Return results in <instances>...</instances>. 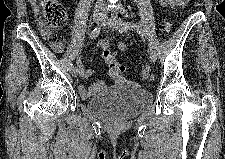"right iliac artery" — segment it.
I'll use <instances>...</instances> for the list:
<instances>
[{
    "mask_svg": "<svg viewBox=\"0 0 225 159\" xmlns=\"http://www.w3.org/2000/svg\"><path fill=\"white\" fill-rule=\"evenodd\" d=\"M99 33H100V27H96L89 34V38L90 39H95V38L98 37ZM72 68H73V64H71V69L70 70H72Z\"/></svg>",
    "mask_w": 225,
    "mask_h": 159,
    "instance_id": "obj_1",
    "label": "right iliac artery"
}]
</instances>
